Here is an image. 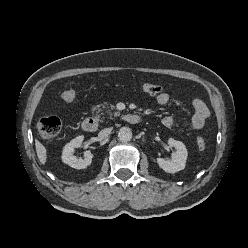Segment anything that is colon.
<instances>
[{
  "mask_svg": "<svg viewBox=\"0 0 248 248\" xmlns=\"http://www.w3.org/2000/svg\"><path fill=\"white\" fill-rule=\"evenodd\" d=\"M140 89L151 96L159 95L162 92L161 86L152 83H144L140 86ZM77 92L73 89H66L62 92V99L71 103L77 99ZM62 127V121L55 116L44 117L39 120L37 124V131L39 136L44 140L53 139L58 135ZM197 147L203 150L206 146V142L203 137H198L196 140Z\"/></svg>",
  "mask_w": 248,
  "mask_h": 248,
  "instance_id": "colon-1",
  "label": "colon"
}]
</instances>
